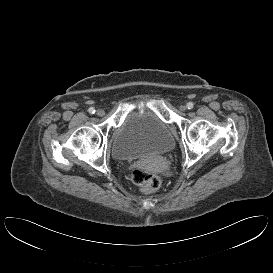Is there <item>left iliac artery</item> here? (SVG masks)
I'll list each match as a JSON object with an SVG mask.
<instances>
[{
  "label": "left iliac artery",
  "instance_id": "obj_1",
  "mask_svg": "<svg viewBox=\"0 0 273 273\" xmlns=\"http://www.w3.org/2000/svg\"><path fill=\"white\" fill-rule=\"evenodd\" d=\"M194 107V104L192 102L187 103V108L192 109Z\"/></svg>",
  "mask_w": 273,
  "mask_h": 273
}]
</instances>
